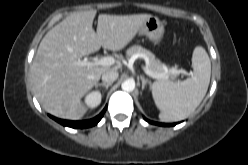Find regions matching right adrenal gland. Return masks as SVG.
I'll return each instance as SVG.
<instances>
[{"label": "right adrenal gland", "mask_w": 248, "mask_h": 165, "mask_svg": "<svg viewBox=\"0 0 248 165\" xmlns=\"http://www.w3.org/2000/svg\"><path fill=\"white\" fill-rule=\"evenodd\" d=\"M99 86H104L106 89H108V87L111 86V83H108V84H106V83H96L95 84L96 88L99 87Z\"/></svg>", "instance_id": "obj_1"}]
</instances>
